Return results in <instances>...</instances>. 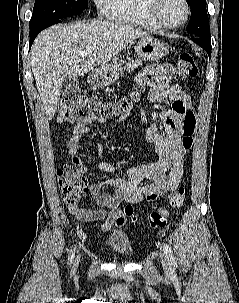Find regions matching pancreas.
I'll return each instance as SVG.
<instances>
[{
    "instance_id": "pancreas-1",
    "label": "pancreas",
    "mask_w": 239,
    "mask_h": 303,
    "mask_svg": "<svg viewBox=\"0 0 239 303\" xmlns=\"http://www.w3.org/2000/svg\"><path fill=\"white\" fill-rule=\"evenodd\" d=\"M142 65V62L141 61H138V60H132V61H129L127 63V66L125 67L127 69V71L131 72L133 71L135 68H137L138 66H141Z\"/></svg>"
}]
</instances>
